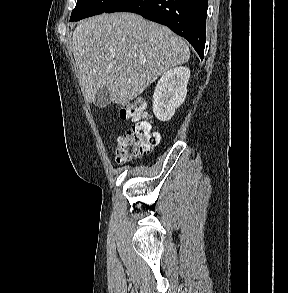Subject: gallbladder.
I'll return each mask as SVG.
<instances>
[{
    "label": "gallbladder",
    "instance_id": "bac80fb5",
    "mask_svg": "<svg viewBox=\"0 0 288 293\" xmlns=\"http://www.w3.org/2000/svg\"><path fill=\"white\" fill-rule=\"evenodd\" d=\"M93 103L98 108H104L110 103V92L107 87H102L96 92Z\"/></svg>",
    "mask_w": 288,
    "mask_h": 293
}]
</instances>
